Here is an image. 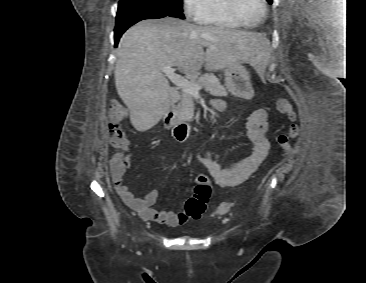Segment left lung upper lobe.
<instances>
[{"mask_svg": "<svg viewBox=\"0 0 366 283\" xmlns=\"http://www.w3.org/2000/svg\"><path fill=\"white\" fill-rule=\"evenodd\" d=\"M269 4H272L273 0H267Z\"/></svg>", "mask_w": 366, "mask_h": 283, "instance_id": "left-lung-upper-lobe-1", "label": "left lung upper lobe"}]
</instances>
